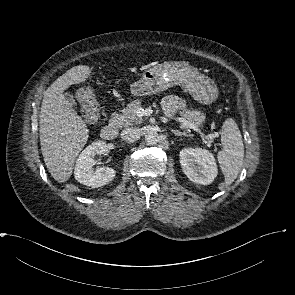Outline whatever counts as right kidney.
Listing matches in <instances>:
<instances>
[{
	"instance_id": "1",
	"label": "right kidney",
	"mask_w": 295,
	"mask_h": 295,
	"mask_svg": "<svg viewBox=\"0 0 295 295\" xmlns=\"http://www.w3.org/2000/svg\"><path fill=\"white\" fill-rule=\"evenodd\" d=\"M107 152V145L104 141H96L86 147L77 159L74 176L83 185L98 188L112 181L116 171L109 167L93 169L95 165L94 157Z\"/></svg>"
}]
</instances>
